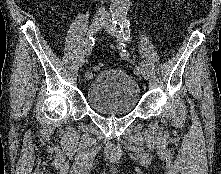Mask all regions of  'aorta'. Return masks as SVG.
<instances>
[{
    "mask_svg": "<svg viewBox=\"0 0 221 174\" xmlns=\"http://www.w3.org/2000/svg\"><path fill=\"white\" fill-rule=\"evenodd\" d=\"M130 0H111L110 9L115 20L126 19Z\"/></svg>",
    "mask_w": 221,
    "mask_h": 174,
    "instance_id": "obj_1",
    "label": "aorta"
}]
</instances>
